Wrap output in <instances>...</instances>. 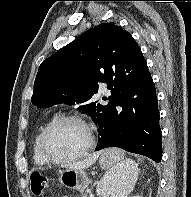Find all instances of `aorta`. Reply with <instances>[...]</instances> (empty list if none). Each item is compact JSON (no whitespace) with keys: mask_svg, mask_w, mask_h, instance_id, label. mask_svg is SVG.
<instances>
[{"mask_svg":"<svg viewBox=\"0 0 191 197\" xmlns=\"http://www.w3.org/2000/svg\"><path fill=\"white\" fill-rule=\"evenodd\" d=\"M105 186H106V185H105V183L103 182L102 187L105 188ZM101 195H102V194H101ZM102 197H103V195H102Z\"/></svg>","mask_w":191,"mask_h":197,"instance_id":"1","label":"aorta"}]
</instances>
